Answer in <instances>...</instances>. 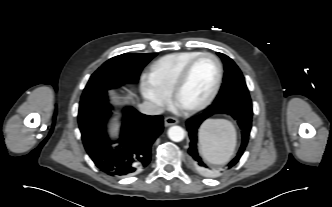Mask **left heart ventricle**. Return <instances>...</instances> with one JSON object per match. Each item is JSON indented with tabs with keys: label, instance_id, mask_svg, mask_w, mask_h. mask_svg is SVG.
<instances>
[{
	"label": "left heart ventricle",
	"instance_id": "b2bd125f",
	"mask_svg": "<svg viewBox=\"0 0 332 207\" xmlns=\"http://www.w3.org/2000/svg\"><path fill=\"white\" fill-rule=\"evenodd\" d=\"M217 77V66L210 57H202L193 66L179 95L182 107H191L205 100L212 91Z\"/></svg>",
	"mask_w": 332,
	"mask_h": 207
}]
</instances>
